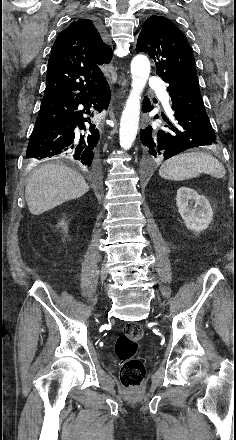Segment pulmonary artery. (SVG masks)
<instances>
[{
    "mask_svg": "<svg viewBox=\"0 0 236 440\" xmlns=\"http://www.w3.org/2000/svg\"><path fill=\"white\" fill-rule=\"evenodd\" d=\"M149 85L152 89L158 90L162 94V101L169 109V96L166 92L164 81L158 78H152L149 82Z\"/></svg>",
    "mask_w": 236,
    "mask_h": 440,
    "instance_id": "obj_1",
    "label": "pulmonary artery"
}]
</instances>
